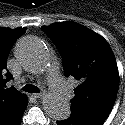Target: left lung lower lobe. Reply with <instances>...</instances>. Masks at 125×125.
<instances>
[{"mask_svg":"<svg viewBox=\"0 0 125 125\" xmlns=\"http://www.w3.org/2000/svg\"><path fill=\"white\" fill-rule=\"evenodd\" d=\"M104 121L84 117L75 113H71L70 117L65 120L57 121V125H102Z\"/></svg>","mask_w":125,"mask_h":125,"instance_id":"left-lung-lower-lobe-1","label":"left lung lower lobe"}]
</instances>
